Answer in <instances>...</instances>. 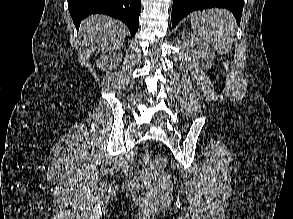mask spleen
Instances as JSON below:
<instances>
[{"label":"spleen","mask_w":293,"mask_h":219,"mask_svg":"<svg viewBox=\"0 0 293 219\" xmlns=\"http://www.w3.org/2000/svg\"><path fill=\"white\" fill-rule=\"evenodd\" d=\"M193 31L220 54L228 53L233 45L236 21L226 9H209L191 14Z\"/></svg>","instance_id":"obj_1"}]
</instances>
